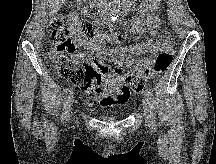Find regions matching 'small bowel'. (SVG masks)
<instances>
[{
  "instance_id": "small-bowel-1",
  "label": "small bowel",
  "mask_w": 216,
  "mask_h": 164,
  "mask_svg": "<svg viewBox=\"0 0 216 164\" xmlns=\"http://www.w3.org/2000/svg\"><path fill=\"white\" fill-rule=\"evenodd\" d=\"M162 1L144 0L138 8L132 22L133 31L147 33L156 39L133 46H121V39L117 34L101 31L91 24H81L77 14H70L78 22V28L73 33L75 41L85 49V54L91 61L106 68L103 84L96 90L86 92L89 106L100 105L114 109L127 103L130 98L131 78L143 67L152 65L156 53L168 48V39L159 34ZM107 42L115 43L116 46L108 48ZM143 52L149 56L138 59L137 56ZM126 67L129 71H125Z\"/></svg>"
}]
</instances>
